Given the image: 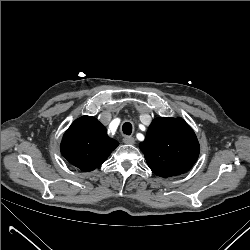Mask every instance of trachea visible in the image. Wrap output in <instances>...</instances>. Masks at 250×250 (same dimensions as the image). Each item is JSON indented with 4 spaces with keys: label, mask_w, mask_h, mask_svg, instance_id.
I'll use <instances>...</instances> for the list:
<instances>
[{
    "label": "trachea",
    "mask_w": 250,
    "mask_h": 250,
    "mask_svg": "<svg viewBox=\"0 0 250 250\" xmlns=\"http://www.w3.org/2000/svg\"><path fill=\"white\" fill-rule=\"evenodd\" d=\"M122 131H123V134L130 135L132 133L131 123H129V122L124 123L122 126Z\"/></svg>",
    "instance_id": "1"
}]
</instances>
